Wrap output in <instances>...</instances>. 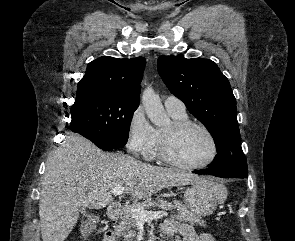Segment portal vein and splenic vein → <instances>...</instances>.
<instances>
[{
    "instance_id": "obj_1",
    "label": "portal vein and splenic vein",
    "mask_w": 295,
    "mask_h": 241,
    "mask_svg": "<svg viewBox=\"0 0 295 241\" xmlns=\"http://www.w3.org/2000/svg\"><path fill=\"white\" fill-rule=\"evenodd\" d=\"M111 192L114 195H121L124 192V187L122 186L115 187ZM130 208L135 219L138 221H147V220H152L162 216H168V213L166 212H163V211L150 212V211L144 210V208H142L141 206H131Z\"/></svg>"
}]
</instances>
